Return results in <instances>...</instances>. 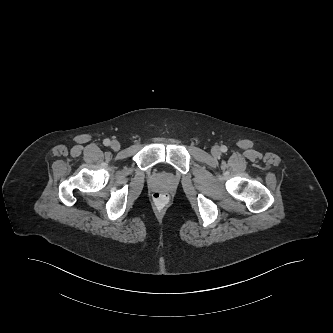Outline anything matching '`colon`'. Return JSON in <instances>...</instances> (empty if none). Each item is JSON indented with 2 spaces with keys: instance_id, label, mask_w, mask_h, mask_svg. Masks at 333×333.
<instances>
[{
  "instance_id": "5ec220e1",
  "label": "colon",
  "mask_w": 333,
  "mask_h": 333,
  "mask_svg": "<svg viewBox=\"0 0 333 333\" xmlns=\"http://www.w3.org/2000/svg\"><path fill=\"white\" fill-rule=\"evenodd\" d=\"M152 206L156 210H162L166 206V201L168 200V194L165 192H156L153 195Z\"/></svg>"
}]
</instances>
